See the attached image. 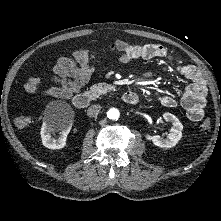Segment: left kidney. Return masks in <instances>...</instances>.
<instances>
[{"mask_svg": "<svg viewBox=\"0 0 221 221\" xmlns=\"http://www.w3.org/2000/svg\"><path fill=\"white\" fill-rule=\"evenodd\" d=\"M163 118L166 122H170L173 125V127L170 130L169 135L166 138H162L158 135L151 136L149 134H146L145 137L147 140L152 141L153 144L156 146H159L162 148H171L175 146L181 139L183 125L175 115L169 112L164 113Z\"/></svg>", "mask_w": 221, "mask_h": 221, "instance_id": "5707ae66", "label": "left kidney"}]
</instances>
